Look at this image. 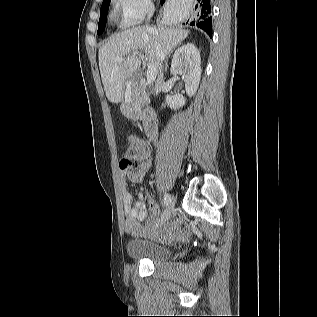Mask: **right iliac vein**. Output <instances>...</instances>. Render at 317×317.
Returning a JSON list of instances; mask_svg holds the SVG:
<instances>
[{
  "mask_svg": "<svg viewBox=\"0 0 317 317\" xmlns=\"http://www.w3.org/2000/svg\"><path fill=\"white\" fill-rule=\"evenodd\" d=\"M174 206H175V199H174V197H172L170 202L168 203V205H167V207H166L161 219L159 220L157 226L161 225L162 223H164L165 221H167L170 218L171 213H172V211L174 209Z\"/></svg>",
  "mask_w": 317,
  "mask_h": 317,
  "instance_id": "right-iliac-vein-1",
  "label": "right iliac vein"
}]
</instances>
